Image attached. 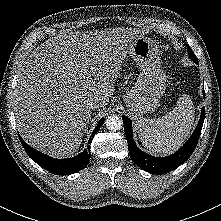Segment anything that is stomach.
I'll use <instances>...</instances> for the list:
<instances>
[{
  "instance_id": "0dacf381",
  "label": "stomach",
  "mask_w": 221,
  "mask_h": 221,
  "mask_svg": "<svg viewBox=\"0 0 221 221\" xmlns=\"http://www.w3.org/2000/svg\"><path fill=\"white\" fill-rule=\"evenodd\" d=\"M129 54L139 64L137 82L123 97L127 110L135 117L154 112L166 90V76L161 67L159 47L148 37L132 43Z\"/></svg>"
}]
</instances>
